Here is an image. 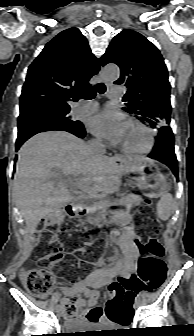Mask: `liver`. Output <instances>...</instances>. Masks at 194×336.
I'll return each mask as SVG.
<instances>
[{"instance_id":"obj_1","label":"liver","mask_w":194,"mask_h":336,"mask_svg":"<svg viewBox=\"0 0 194 336\" xmlns=\"http://www.w3.org/2000/svg\"><path fill=\"white\" fill-rule=\"evenodd\" d=\"M134 158L94 154L83 140L63 131L31 137L18 152L15 173V198L27 233L34 234L41 219L71 202L74 193L112 192L124 173L122 163ZM62 175L86 176L74 183L81 192L72 193Z\"/></svg>"}]
</instances>
